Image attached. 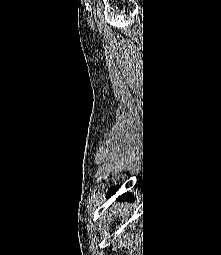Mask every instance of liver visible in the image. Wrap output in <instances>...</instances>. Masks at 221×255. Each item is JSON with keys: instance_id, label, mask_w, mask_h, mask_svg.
Here are the masks:
<instances>
[{"instance_id": "6515ba94", "label": "liver", "mask_w": 221, "mask_h": 255, "mask_svg": "<svg viewBox=\"0 0 221 255\" xmlns=\"http://www.w3.org/2000/svg\"><path fill=\"white\" fill-rule=\"evenodd\" d=\"M134 209V205L132 204H120L117 207V216L119 217H126L129 213L132 212V210Z\"/></svg>"}]
</instances>
